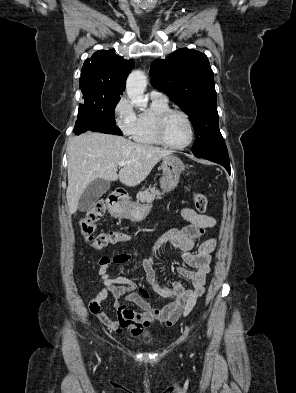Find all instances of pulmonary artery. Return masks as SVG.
Instances as JSON below:
<instances>
[{
	"instance_id": "e3ab8cb5",
	"label": "pulmonary artery",
	"mask_w": 296,
	"mask_h": 393,
	"mask_svg": "<svg viewBox=\"0 0 296 393\" xmlns=\"http://www.w3.org/2000/svg\"><path fill=\"white\" fill-rule=\"evenodd\" d=\"M150 96L152 99L159 100L162 102H168L167 96L164 93H162L161 91L153 89L150 92Z\"/></svg>"
}]
</instances>
